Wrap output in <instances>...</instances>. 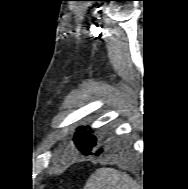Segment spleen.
Returning <instances> with one entry per match:
<instances>
[{
  "mask_svg": "<svg viewBox=\"0 0 188 189\" xmlns=\"http://www.w3.org/2000/svg\"><path fill=\"white\" fill-rule=\"evenodd\" d=\"M84 189H135V182L118 170L100 168L91 175Z\"/></svg>",
  "mask_w": 188,
  "mask_h": 189,
  "instance_id": "spleen-1",
  "label": "spleen"
}]
</instances>
